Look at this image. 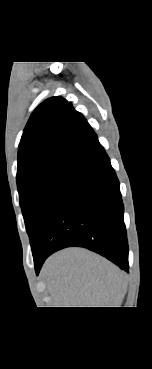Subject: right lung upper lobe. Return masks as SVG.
<instances>
[{
  "label": "right lung upper lobe",
  "mask_w": 152,
  "mask_h": 369,
  "mask_svg": "<svg viewBox=\"0 0 152 369\" xmlns=\"http://www.w3.org/2000/svg\"><path fill=\"white\" fill-rule=\"evenodd\" d=\"M99 143L84 116L62 97L41 103L30 116L18 149L17 180L57 162L77 163Z\"/></svg>",
  "instance_id": "1"
}]
</instances>
